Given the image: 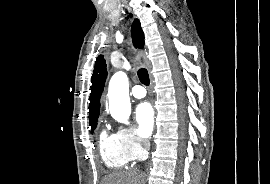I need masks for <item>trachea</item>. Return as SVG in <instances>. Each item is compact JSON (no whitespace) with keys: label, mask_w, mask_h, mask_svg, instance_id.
Here are the masks:
<instances>
[{"label":"trachea","mask_w":270,"mask_h":184,"mask_svg":"<svg viewBox=\"0 0 270 184\" xmlns=\"http://www.w3.org/2000/svg\"><path fill=\"white\" fill-rule=\"evenodd\" d=\"M138 77L139 80L141 81V83H143L144 85H149V75H148V71L144 68L139 69L138 70Z\"/></svg>","instance_id":"trachea-1"}]
</instances>
